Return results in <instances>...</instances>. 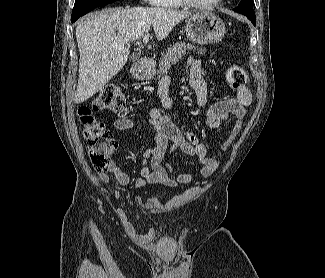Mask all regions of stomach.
<instances>
[{
  "instance_id": "1",
  "label": "stomach",
  "mask_w": 325,
  "mask_h": 278,
  "mask_svg": "<svg viewBox=\"0 0 325 278\" xmlns=\"http://www.w3.org/2000/svg\"><path fill=\"white\" fill-rule=\"evenodd\" d=\"M185 30L189 40L206 45L220 42L226 33L223 21L211 12L196 13L188 17ZM154 74V68L133 70V76L139 80H150Z\"/></svg>"
}]
</instances>
